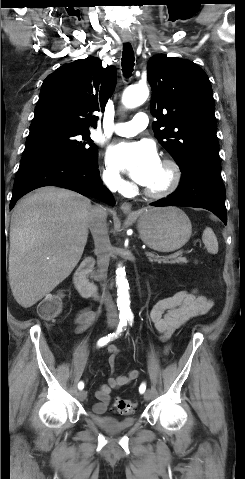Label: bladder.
Here are the masks:
<instances>
[{"mask_svg":"<svg viewBox=\"0 0 245 479\" xmlns=\"http://www.w3.org/2000/svg\"><path fill=\"white\" fill-rule=\"evenodd\" d=\"M92 422L108 433H117L129 429L135 422L134 417L117 419L105 415H90Z\"/></svg>","mask_w":245,"mask_h":479,"instance_id":"obj_1","label":"bladder"}]
</instances>
